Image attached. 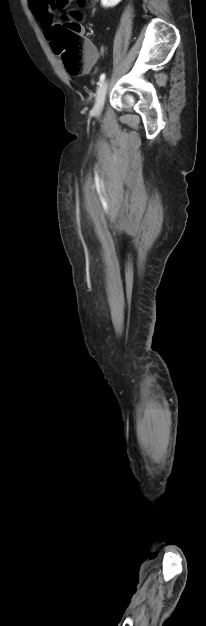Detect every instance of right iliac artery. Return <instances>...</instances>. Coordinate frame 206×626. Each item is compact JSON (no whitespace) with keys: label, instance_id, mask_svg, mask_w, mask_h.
Masks as SVG:
<instances>
[{"label":"right iliac artery","instance_id":"obj_1","mask_svg":"<svg viewBox=\"0 0 206 626\" xmlns=\"http://www.w3.org/2000/svg\"><path fill=\"white\" fill-rule=\"evenodd\" d=\"M104 79H105V74L103 73V74L100 75L98 85H101L102 82L104 81Z\"/></svg>","mask_w":206,"mask_h":626}]
</instances>
